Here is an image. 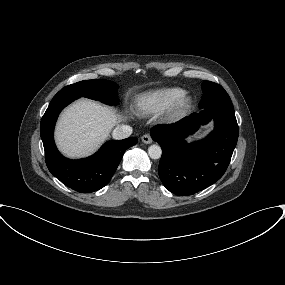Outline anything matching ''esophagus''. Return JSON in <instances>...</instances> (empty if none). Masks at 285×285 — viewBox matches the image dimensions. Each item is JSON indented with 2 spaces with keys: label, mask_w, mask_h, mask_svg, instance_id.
<instances>
[{
  "label": "esophagus",
  "mask_w": 285,
  "mask_h": 285,
  "mask_svg": "<svg viewBox=\"0 0 285 285\" xmlns=\"http://www.w3.org/2000/svg\"><path fill=\"white\" fill-rule=\"evenodd\" d=\"M141 140L143 143L145 144H151L152 143V137L149 135V134H144L142 137H141Z\"/></svg>",
  "instance_id": "34e87169"
}]
</instances>
